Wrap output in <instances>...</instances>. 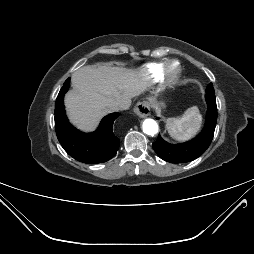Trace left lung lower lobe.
Masks as SVG:
<instances>
[{
  "label": "left lung lower lobe",
  "instance_id": "1",
  "mask_svg": "<svg viewBox=\"0 0 254 254\" xmlns=\"http://www.w3.org/2000/svg\"><path fill=\"white\" fill-rule=\"evenodd\" d=\"M205 97L208 110L203 131L195 139L177 145L169 144L159 136L157 141L153 143V149L161 159L170 163H186L201 156L209 147L217 121L214 88H207Z\"/></svg>",
  "mask_w": 254,
  "mask_h": 254
}]
</instances>
